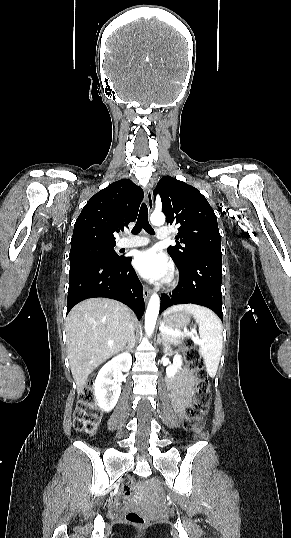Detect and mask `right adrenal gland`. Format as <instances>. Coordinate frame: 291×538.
Instances as JSON below:
<instances>
[{
    "instance_id": "right-adrenal-gland-1",
    "label": "right adrenal gland",
    "mask_w": 291,
    "mask_h": 538,
    "mask_svg": "<svg viewBox=\"0 0 291 538\" xmlns=\"http://www.w3.org/2000/svg\"><path fill=\"white\" fill-rule=\"evenodd\" d=\"M134 345H135V338L133 336L131 343L129 345L125 346L124 348L129 350V351H132V348L134 347Z\"/></svg>"
}]
</instances>
